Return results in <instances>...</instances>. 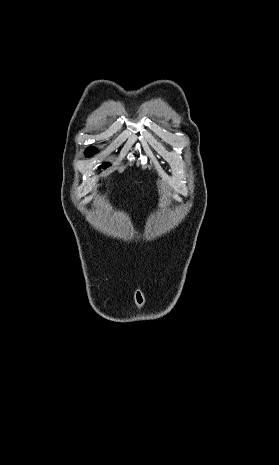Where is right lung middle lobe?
Segmentation results:
<instances>
[{
  "label": "right lung middle lobe",
  "mask_w": 279,
  "mask_h": 465,
  "mask_svg": "<svg viewBox=\"0 0 279 465\" xmlns=\"http://www.w3.org/2000/svg\"><path fill=\"white\" fill-rule=\"evenodd\" d=\"M94 153H95V149H94V148H88V149H86V151H85V156H86V157H89V156H92ZM109 166H110L109 164H104L102 167H103V168H106V167H109Z\"/></svg>",
  "instance_id": "obj_1"
}]
</instances>
